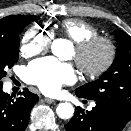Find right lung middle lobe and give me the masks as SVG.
Here are the masks:
<instances>
[{"mask_svg": "<svg viewBox=\"0 0 131 131\" xmlns=\"http://www.w3.org/2000/svg\"><path fill=\"white\" fill-rule=\"evenodd\" d=\"M39 16L14 15L6 29L0 30V87L1 79L6 76V69L11 68L18 61L19 34L30 22Z\"/></svg>", "mask_w": 131, "mask_h": 131, "instance_id": "obj_1", "label": "right lung middle lobe"}]
</instances>
